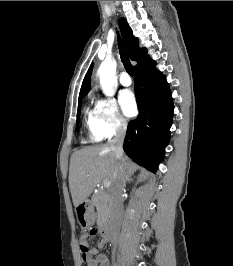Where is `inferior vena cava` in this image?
<instances>
[{"instance_id":"602c4592","label":"inferior vena cava","mask_w":233,"mask_h":266,"mask_svg":"<svg viewBox=\"0 0 233 266\" xmlns=\"http://www.w3.org/2000/svg\"><path fill=\"white\" fill-rule=\"evenodd\" d=\"M127 130L126 122H121L116 129L115 137L110 141V147L119 161V170L111 186V218L110 229L116 231L120 226V215L122 210V192L126 181V163L123 159V141Z\"/></svg>"}]
</instances>
